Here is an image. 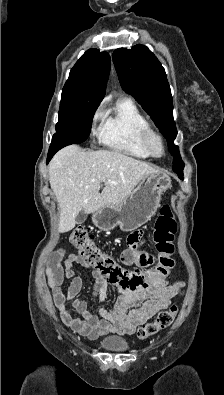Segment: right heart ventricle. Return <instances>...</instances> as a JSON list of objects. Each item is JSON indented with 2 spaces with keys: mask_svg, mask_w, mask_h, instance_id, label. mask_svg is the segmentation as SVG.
<instances>
[{
  "mask_svg": "<svg viewBox=\"0 0 224 395\" xmlns=\"http://www.w3.org/2000/svg\"><path fill=\"white\" fill-rule=\"evenodd\" d=\"M146 125L148 122L135 103L131 99L122 98L106 114L99 140L113 150L146 159L150 155L140 141V131Z\"/></svg>",
  "mask_w": 224,
  "mask_h": 395,
  "instance_id": "e07e8e85",
  "label": "right heart ventricle"
}]
</instances>
